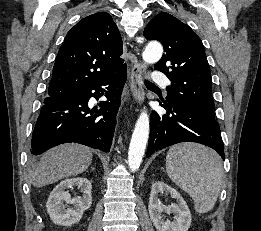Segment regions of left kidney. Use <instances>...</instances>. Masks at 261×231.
I'll return each mask as SVG.
<instances>
[{"label": "left kidney", "instance_id": "obj_1", "mask_svg": "<svg viewBox=\"0 0 261 231\" xmlns=\"http://www.w3.org/2000/svg\"><path fill=\"white\" fill-rule=\"evenodd\" d=\"M164 192L176 199L177 203H171L169 206L162 204L158 195ZM148 210L157 231H188L191 225V213L185 200L175 189L164 182L158 181L152 185ZM162 213H173V221L164 220Z\"/></svg>", "mask_w": 261, "mask_h": 231}]
</instances>
